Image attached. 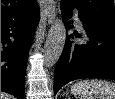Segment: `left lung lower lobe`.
<instances>
[{
    "instance_id": "left-lung-lower-lobe-1",
    "label": "left lung lower lobe",
    "mask_w": 115,
    "mask_h": 99,
    "mask_svg": "<svg viewBox=\"0 0 115 99\" xmlns=\"http://www.w3.org/2000/svg\"><path fill=\"white\" fill-rule=\"evenodd\" d=\"M72 10L67 4H61L67 29L72 28L67 24V20L72 17ZM79 19L86 32V43L76 44L69 40L73 38V34L67 35L65 47L55 69V94L63 85L76 79L99 77L115 80V29L81 16ZM75 37L81 38L77 32Z\"/></svg>"
}]
</instances>
